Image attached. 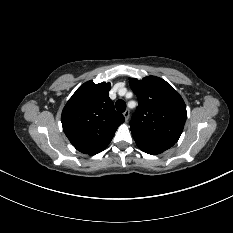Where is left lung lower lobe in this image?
Here are the masks:
<instances>
[{"label": "left lung lower lobe", "instance_id": "0a47b994", "mask_svg": "<svg viewBox=\"0 0 233 233\" xmlns=\"http://www.w3.org/2000/svg\"><path fill=\"white\" fill-rule=\"evenodd\" d=\"M136 144L142 151L152 155L160 154L174 145L173 143L157 140H150L145 142L136 141Z\"/></svg>", "mask_w": 233, "mask_h": 233}]
</instances>
